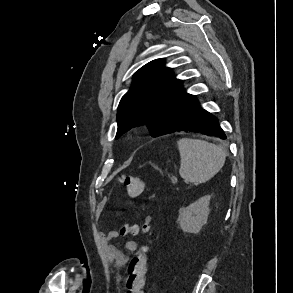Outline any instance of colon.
Listing matches in <instances>:
<instances>
[{
    "mask_svg": "<svg viewBox=\"0 0 293 293\" xmlns=\"http://www.w3.org/2000/svg\"><path fill=\"white\" fill-rule=\"evenodd\" d=\"M120 182L132 198L138 197L144 190V183L137 176H121ZM141 231L149 232V226L140 227L137 224L123 225L120 229L122 235H137ZM149 246L146 245L137 251L131 258L124 277L126 293H143L145 274L147 270Z\"/></svg>",
    "mask_w": 293,
    "mask_h": 293,
    "instance_id": "5ec220e1",
    "label": "colon"
}]
</instances>
